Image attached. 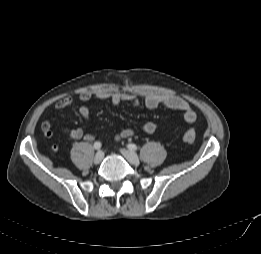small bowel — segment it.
I'll return each instance as SVG.
<instances>
[{"instance_id":"c3829d8e","label":"small bowel","mask_w":261,"mask_h":254,"mask_svg":"<svg viewBox=\"0 0 261 254\" xmlns=\"http://www.w3.org/2000/svg\"><path fill=\"white\" fill-rule=\"evenodd\" d=\"M94 97L99 100H109L113 105H119L120 103L127 101L133 106L144 104L149 109L165 107L171 110L181 111L184 115L185 122L188 124H192L196 120V113L190 104L186 100L170 94L157 92L131 94L119 91L111 92L102 90L97 92ZM92 98L93 95L89 92H82L79 95L80 101L83 102V104L79 107V114L84 120H89L90 118V109L87 102H89ZM72 104V98L64 97L54 103V108L59 110L65 109L70 107ZM142 129L144 132L152 134L156 131V124L151 121L146 122L143 124ZM42 131L46 136H52V123L50 121L43 122ZM47 131H49V134L46 133ZM62 131L69 139L84 140L87 142H91L95 139L92 134L85 133L81 128H64ZM133 135L134 130L126 128L117 133L114 139L115 141H120ZM53 151H56V147H53Z\"/></svg>"}]
</instances>
